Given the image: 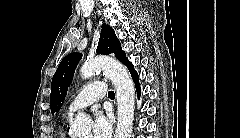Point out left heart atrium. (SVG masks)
I'll return each instance as SVG.
<instances>
[{
    "mask_svg": "<svg viewBox=\"0 0 240 138\" xmlns=\"http://www.w3.org/2000/svg\"><path fill=\"white\" fill-rule=\"evenodd\" d=\"M93 138H109L112 133V121L102 111H97L93 124Z\"/></svg>",
    "mask_w": 240,
    "mask_h": 138,
    "instance_id": "obj_1",
    "label": "left heart atrium"
}]
</instances>
